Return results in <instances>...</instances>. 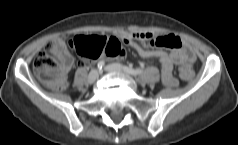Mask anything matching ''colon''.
<instances>
[{"mask_svg": "<svg viewBox=\"0 0 238 145\" xmlns=\"http://www.w3.org/2000/svg\"><path fill=\"white\" fill-rule=\"evenodd\" d=\"M56 42H50L33 60V70L46 84L62 90L66 79L61 72L60 64L55 54ZM70 46L86 61L96 60L102 56L119 58L124 56V48L116 37L106 36H76L70 41ZM181 78L188 80L193 76L189 66L179 69Z\"/></svg>", "mask_w": 238, "mask_h": 145, "instance_id": "5ec220e1", "label": "colon"}]
</instances>
